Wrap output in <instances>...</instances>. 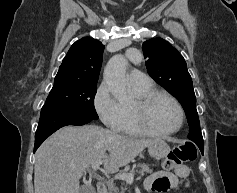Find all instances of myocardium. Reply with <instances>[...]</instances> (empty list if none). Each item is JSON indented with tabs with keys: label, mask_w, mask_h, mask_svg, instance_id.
Wrapping results in <instances>:
<instances>
[{
	"label": "myocardium",
	"mask_w": 237,
	"mask_h": 193,
	"mask_svg": "<svg viewBox=\"0 0 237 193\" xmlns=\"http://www.w3.org/2000/svg\"><path fill=\"white\" fill-rule=\"evenodd\" d=\"M159 97H165L171 100L178 109L179 112V123L171 130L160 131L150 127L146 121L145 116L151 106V104ZM132 117L134 125L144 134L151 136H169L180 131L184 124L185 112L180 102L171 94L163 91H153L143 97L138 98L137 102L132 106Z\"/></svg>",
	"instance_id": "f54148a6"
}]
</instances>
